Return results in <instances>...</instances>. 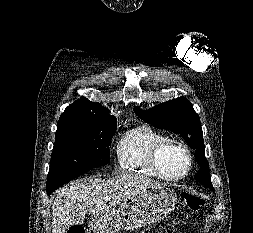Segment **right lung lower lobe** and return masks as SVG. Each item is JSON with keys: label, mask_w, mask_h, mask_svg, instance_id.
I'll list each match as a JSON object with an SVG mask.
<instances>
[{"label": "right lung lower lobe", "mask_w": 253, "mask_h": 233, "mask_svg": "<svg viewBox=\"0 0 253 233\" xmlns=\"http://www.w3.org/2000/svg\"><path fill=\"white\" fill-rule=\"evenodd\" d=\"M87 171H89V169H75V170L66 171L61 174H58V175L48 178V181L46 184L47 194L50 195L57 188L66 184L70 180L84 174Z\"/></svg>", "instance_id": "right-lung-lower-lobe-1"}]
</instances>
